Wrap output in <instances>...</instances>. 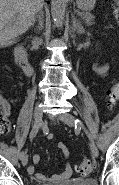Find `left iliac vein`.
<instances>
[{"label": "left iliac vein", "mask_w": 119, "mask_h": 185, "mask_svg": "<svg viewBox=\"0 0 119 185\" xmlns=\"http://www.w3.org/2000/svg\"><path fill=\"white\" fill-rule=\"evenodd\" d=\"M57 119L66 123L70 127H74L75 118L73 115H71L69 113L61 114V115L57 116ZM89 147H90V151H91L93 158H97L99 153H98V149H97L95 143L90 141Z\"/></svg>", "instance_id": "left-iliac-vein-1"}]
</instances>
